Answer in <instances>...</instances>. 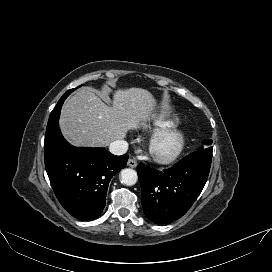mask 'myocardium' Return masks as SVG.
Segmentation results:
<instances>
[{"instance_id":"1","label":"myocardium","mask_w":272,"mask_h":272,"mask_svg":"<svg viewBox=\"0 0 272 272\" xmlns=\"http://www.w3.org/2000/svg\"><path fill=\"white\" fill-rule=\"evenodd\" d=\"M186 133L176 125L158 131L149 144L152 158L160 164H170L176 161L186 146Z\"/></svg>"}]
</instances>
